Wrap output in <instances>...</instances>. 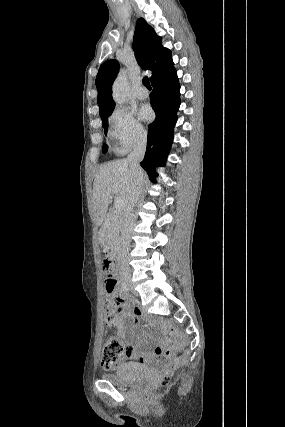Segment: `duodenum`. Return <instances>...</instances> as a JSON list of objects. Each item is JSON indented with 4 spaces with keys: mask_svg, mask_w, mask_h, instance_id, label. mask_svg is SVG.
Wrapping results in <instances>:
<instances>
[{
    "mask_svg": "<svg viewBox=\"0 0 285 427\" xmlns=\"http://www.w3.org/2000/svg\"><path fill=\"white\" fill-rule=\"evenodd\" d=\"M114 229V224H111L110 226H109V230H113ZM105 231L104 230H101V232H100V241H101V243H103V244H105Z\"/></svg>",
    "mask_w": 285,
    "mask_h": 427,
    "instance_id": "duodenum-1",
    "label": "duodenum"
}]
</instances>
